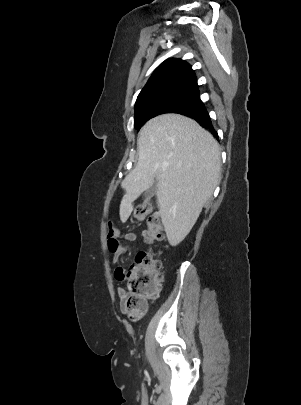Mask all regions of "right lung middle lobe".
<instances>
[{"mask_svg": "<svg viewBox=\"0 0 301 405\" xmlns=\"http://www.w3.org/2000/svg\"><path fill=\"white\" fill-rule=\"evenodd\" d=\"M204 108L199 91L173 89L153 94L135 105L134 126L139 130L149 119L164 113H181Z\"/></svg>", "mask_w": 301, "mask_h": 405, "instance_id": "right-lung-middle-lobe-1", "label": "right lung middle lobe"}]
</instances>
